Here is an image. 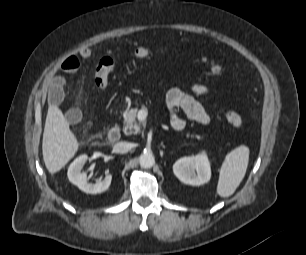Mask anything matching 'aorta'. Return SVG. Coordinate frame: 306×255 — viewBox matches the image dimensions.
Instances as JSON below:
<instances>
[{
	"label": "aorta",
	"mask_w": 306,
	"mask_h": 255,
	"mask_svg": "<svg viewBox=\"0 0 306 255\" xmlns=\"http://www.w3.org/2000/svg\"><path fill=\"white\" fill-rule=\"evenodd\" d=\"M139 164L142 168L148 169L155 164V158L151 152H144L139 157Z\"/></svg>",
	"instance_id": "1"
}]
</instances>
